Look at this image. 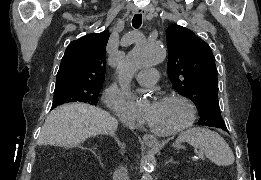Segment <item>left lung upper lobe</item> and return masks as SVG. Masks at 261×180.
<instances>
[{"label":"left lung upper lobe","mask_w":261,"mask_h":180,"mask_svg":"<svg viewBox=\"0 0 261 180\" xmlns=\"http://www.w3.org/2000/svg\"><path fill=\"white\" fill-rule=\"evenodd\" d=\"M168 76L174 89L196 105L198 125L225 129L218 101V80L209 45L191 30L171 25L166 31Z\"/></svg>","instance_id":"5c2ea615"}]
</instances>
